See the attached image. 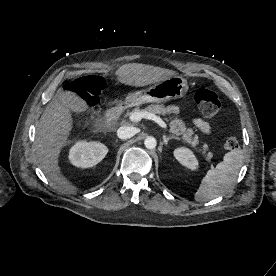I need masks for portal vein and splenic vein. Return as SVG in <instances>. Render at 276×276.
I'll return each instance as SVG.
<instances>
[{
    "instance_id": "1",
    "label": "portal vein and splenic vein",
    "mask_w": 276,
    "mask_h": 276,
    "mask_svg": "<svg viewBox=\"0 0 276 276\" xmlns=\"http://www.w3.org/2000/svg\"><path fill=\"white\" fill-rule=\"evenodd\" d=\"M143 118L153 120L162 128L167 129V124L160 117L146 111L132 113L129 117L132 122H139Z\"/></svg>"
}]
</instances>
